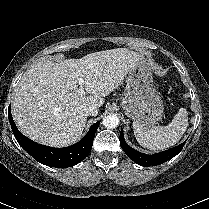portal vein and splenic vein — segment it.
Segmentation results:
<instances>
[{
  "label": "portal vein and splenic vein",
  "mask_w": 209,
  "mask_h": 209,
  "mask_svg": "<svg viewBox=\"0 0 209 209\" xmlns=\"http://www.w3.org/2000/svg\"><path fill=\"white\" fill-rule=\"evenodd\" d=\"M78 84H79L78 94L84 95L85 94V91H84L85 81L83 80V78L78 79Z\"/></svg>",
  "instance_id": "1"
}]
</instances>
